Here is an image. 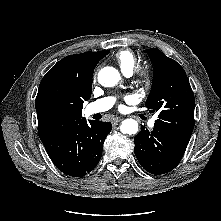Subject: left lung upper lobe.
<instances>
[{"mask_svg":"<svg viewBox=\"0 0 221 221\" xmlns=\"http://www.w3.org/2000/svg\"><path fill=\"white\" fill-rule=\"evenodd\" d=\"M154 65L146 107L158 111L155 125L169 132L191 136L194 128V93L184 69L155 48L145 50Z\"/></svg>","mask_w":221,"mask_h":221,"instance_id":"obj_1","label":"left lung upper lobe"}]
</instances>
